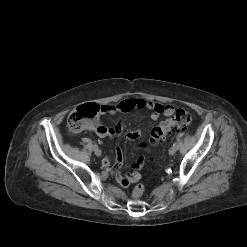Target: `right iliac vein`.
I'll return each mask as SVG.
<instances>
[{
	"label": "right iliac vein",
	"instance_id": "1",
	"mask_svg": "<svg viewBox=\"0 0 247 247\" xmlns=\"http://www.w3.org/2000/svg\"><path fill=\"white\" fill-rule=\"evenodd\" d=\"M94 153H95L96 156L99 157V156H101V153H102V152H101V150L97 147V148L94 149Z\"/></svg>",
	"mask_w": 247,
	"mask_h": 247
}]
</instances>
